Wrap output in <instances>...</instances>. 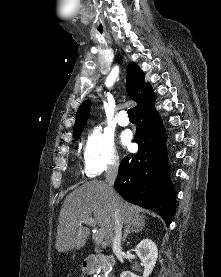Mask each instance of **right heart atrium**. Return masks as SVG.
<instances>
[{
	"mask_svg": "<svg viewBox=\"0 0 221 277\" xmlns=\"http://www.w3.org/2000/svg\"><path fill=\"white\" fill-rule=\"evenodd\" d=\"M83 159L84 170L89 177L115 170L119 166L120 158L113 135L101 126L93 127L84 145Z\"/></svg>",
	"mask_w": 221,
	"mask_h": 277,
	"instance_id": "obj_1",
	"label": "right heart atrium"
}]
</instances>
